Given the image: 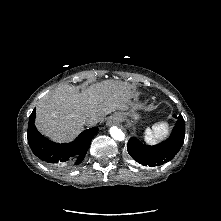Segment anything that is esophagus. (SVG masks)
Masks as SVG:
<instances>
[{"label": "esophagus", "instance_id": "esophagus-1", "mask_svg": "<svg viewBox=\"0 0 221 221\" xmlns=\"http://www.w3.org/2000/svg\"><path fill=\"white\" fill-rule=\"evenodd\" d=\"M121 122V117L118 114H113L109 117L107 125L119 124Z\"/></svg>", "mask_w": 221, "mask_h": 221}]
</instances>
